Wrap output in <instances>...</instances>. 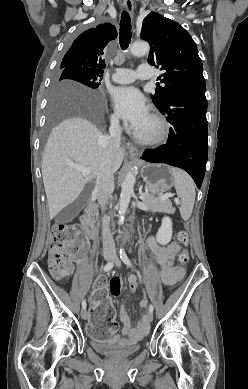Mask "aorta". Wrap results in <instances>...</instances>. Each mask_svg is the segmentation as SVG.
<instances>
[{
    "label": "aorta",
    "mask_w": 248,
    "mask_h": 389,
    "mask_svg": "<svg viewBox=\"0 0 248 389\" xmlns=\"http://www.w3.org/2000/svg\"><path fill=\"white\" fill-rule=\"evenodd\" d=\"M131 54L135 56L143 55L146 54L149 51V44L146 42H136L133 43L131 46ZM135 175L133 171H130L126 177L125 180L122 184V189H121V195H120V200H119V216L120 219L118 223L120 225L123 224L124 221V215L127 211L129 202L131 200V196L134 193V185H135Z\"/></svg>",
    "instance_id": "762f6f07"
}]
</instances>
